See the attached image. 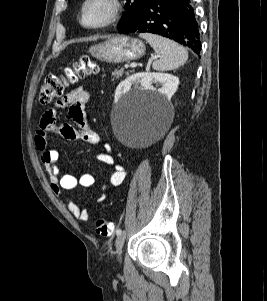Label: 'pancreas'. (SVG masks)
<instances>
[{
	"label": "pancreas",
	"instance_id": "pancreas-1",
	"mask_svg": "<svg viewBox=\"0 0 267 301\" xmlns=\"http://www.w3.org/2000/svg\"><path fill=\"white\" fill-rule=\"evenodd\" d=\"M124 74V69H115L114 72L112 73L113 79H119L122 75ZM128 75V73H126Z\"/></svg>",
	"mask_w": 267,
	"mask_h": 301
}]
</instances>
